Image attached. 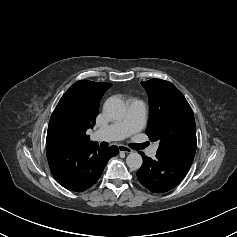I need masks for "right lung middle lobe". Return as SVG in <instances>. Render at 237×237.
Returning <instances> with one entry per match:
<instances>
[{
    "instance_id": "dd1d6c3e",
    "label": "right lung middle lobe",
    "mask_w": 237,
    "mask_h": 237,
    "mask_svg": "<svg viewBox=\"0 0 237 237\" xmlns=\"http://www.w3.org/2000/svg\"><path fill=\"white\" fill-rule=\"evenodd\" d=\"M68 135V129L62 122L58 120H50L46 138L48 144L67 145Z\"/></svg>"
}]
</instances>
